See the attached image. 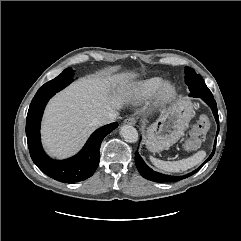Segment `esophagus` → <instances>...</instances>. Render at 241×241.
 Wrapping results in <instances>:
<instances>
[{"label": "esophagus", "instance_id": "34e87169", "mask_svg": "<svg viewBox=\"0 0 241 241\" xmlns=\"http://www.w3.org/2000/svg\"><path fill=\"white\" fill-rule=\"evenodd\" d=\"M124 123H126L128 125H135L136 124V120L133 117H129V118L124 120Z\"/></svg>", "mask_w": 241, "mask_h": 241}]
</instances>
